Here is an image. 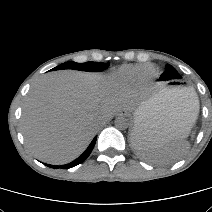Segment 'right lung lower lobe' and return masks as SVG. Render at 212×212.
I'll return each instance as SVG.
<instances>
[{"label":"right lung lower lobe","instance_id":"1","mask_svg":"<svg viewBox=\"0 0 212 212\" xmlns=\"http://www.w3.org/2000/svg\"><path fill=\"white\" fill-rule=\"evenodd\" d=\"M96 139H97V136L92 140L91 144L89 145V147L86 149V151L81 155L79 156L76 160L72 161L71 163L69 164H65V165H62V166H52V165H47L49 167H52V168H62V169H68V168H72L80 163H82L83 161H85L87 159V157L90 155V153L92 152L93 150V147L96 143Z\"/></svg>","mask_w":212,"mask_h":212}]
</instances>
